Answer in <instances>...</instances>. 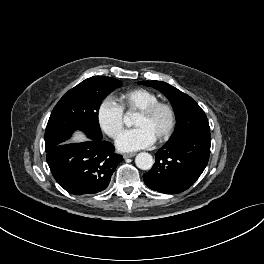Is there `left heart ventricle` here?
Segmentation results:
<instances>
[{
	"instance_id": "obj_1",
	"label": "left heart ventricle",
	"mask_w": 264,
	"mask_h": 264,
	"mask_svg": "<svg viewBox=\"0 0 264 264\" xmlns=\"http://www.w3.org/2000/svg\"><path fill=\"white\" fill-rule=\"evenodd\" d=\"M168 124V115L164 110H159L151 117L137 115L134 121L135 127L146 128L156 139L163 134Z\"/></svg>"
}]
</instances>
